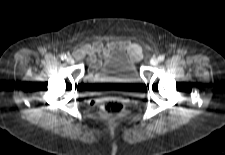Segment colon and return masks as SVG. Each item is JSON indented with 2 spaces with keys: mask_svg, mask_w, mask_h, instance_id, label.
Returning <instances> with one entry per match:
<instances>
[{
  "mask_svg": "<svg viewBox=\"0 0 225 155\" xmlns=\"http://www.w3.org/2000/svg\"><path fill=\"white\" fill-rule=\"evenodd\" d=\"M93 105L99 109L102 118L105 120H115L130 115L124 101L119 97L94 100Z\"/></svg>",
  "mask_w": 225,
  "mask_h": 155,
  "instance_id": "colon-1",
  "label": "colon"
}]
</instances>
